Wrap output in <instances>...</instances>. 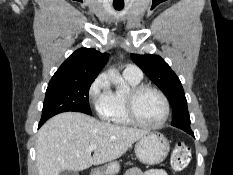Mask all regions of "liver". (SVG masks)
I'll list each match as a JSON object with an SVG mask.
<instances>
[{
    "label": "liver",
    "mask_w": 233,
    "mask_h": 175,
    "mask_svg": "<svg viewBox=\"0 0 233 175\" xmlns=\"http://www.w3.org/2000/svg\"><path fill=\"white\" fill-rule=\"evenodd\" d=\"M149 131L101 122L77 112L49 119L38 131L36 164L39 175L81 171L121 157ZM96 145L93 156L87 149Z\"/></svg>",
    "instance_id": "6515ba94"
}]
</instances>
